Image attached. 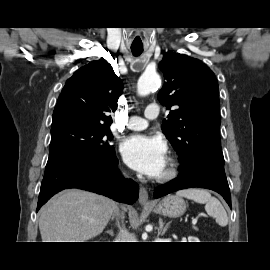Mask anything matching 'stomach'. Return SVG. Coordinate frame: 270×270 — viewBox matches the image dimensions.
<instances>
[{
  "label": "stomach",
  "instance_id": "obj_1",
  "mask_svg": "<svg viewBox=\"0 0 270 270\" xmlns=\"http://www.w3.org/2000/svg\"><path fill=\"white\" fill-rule=\"evenodd\" d=\"M152 210L160 215L179 217L185 213L186 204L181 197L169 195L155 205Z\"/></svg>",
  "mask_w": 270,
  "mask_h": 270
}]
</instances>
